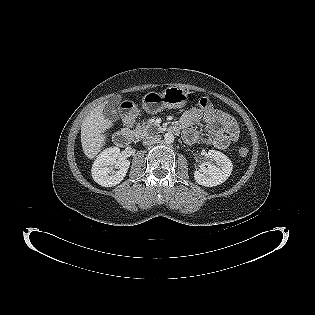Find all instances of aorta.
I'll use <instances>...</instances> for the list:
<instances>
[{
    "label": "aorta",
    "mask_w": 315,
    "mask_h": 315,
    "mask_svg": "<svg viewBox=\"0 0 315 315\" xmlns=\"http://www.w3.org/2000/svg\"><path fill=\"white\" fill-rule=\"evenodd\" d=\"M164 140H165V142L168 143V144L173 143V142H174V136H173V134H171V133H166V134L164 135Z\"/></svg>",
    "instance_id": "aorta-1"
}]
</instances>
